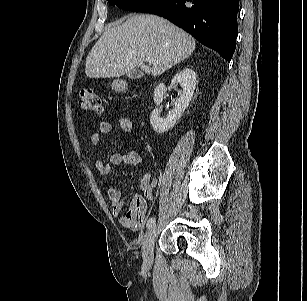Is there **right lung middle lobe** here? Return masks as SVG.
<instances>
[{
    "label": "right lung middle lobe",
    "instance_id": "right-lung-middle-lobe-1",
    "mask_svg": "<svg viewBox=\"0 0 307 301\" xmlns=\"http://www.w3.org/2000/svg\"><path fill=\"white\" fill-rule=\"evenodd\" d=\"M156 0H108L110 5L127 11L138 12Z\"/></svg>",
    "mask_w": 307,
    "mask_h": 301
}]
</instances>
